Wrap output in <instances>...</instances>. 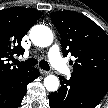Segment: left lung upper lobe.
I'll list each match as a JSON object with an SVG mask.
<instances>
[{
    "instance_id": "left-lung-upper-lobe-1",
    "label": "left lung upper lobe",
    "mask_w": 108,
    "mask_h": 108,
    "mask_svg": "<svg viewBox=\"0 0 108 108\" xmlns=\"http://www.w3.org/2000/svg\"><path fill=\"white\" fill-rule=\"evenodd\" d=\"M64 56L75 57L73 74L108 78V35L92 20L73 11L51 13Z\"/></svg>"
}]
</instances>
